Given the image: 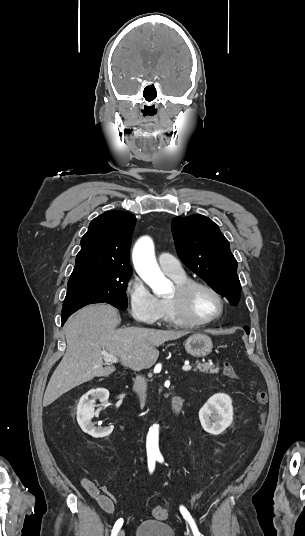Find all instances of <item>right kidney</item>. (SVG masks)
Here are the masks:
<instances>
[{
    "label": "right kidney",
    "mask_w": 305,
    "mask_h": 536,
    "mask_svg": "<svg viewBox=\"0 0 305 536\" xmlns=\"http://www.w3.org/2000/svg\"><path fill=\"white\" fill-rule=\"evenodd\" d=\"M88 396L89 392L86 394V396H82L78 404L77 420L81 430H83L85 434L93 436V438H104V436H109V434L112 432L113 426L103 430V428H95L94 424L91 422L94 416L95 400L106 402V400L109 398L108 390H104V388H97V390H93V394H91V396H93L94 400H88Z\"/></svg>",
    "instance_id": "ca27d5eb"
}]
</instances>
